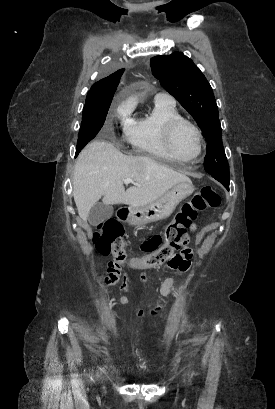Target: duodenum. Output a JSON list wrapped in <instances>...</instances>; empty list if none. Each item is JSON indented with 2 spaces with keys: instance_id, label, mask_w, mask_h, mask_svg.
Returning <instances> with one entry per match:
<instances>
[{
  "instance_id": "410a0bca",
  "label": "duodenum",
  "mask_w": 275,
  "mask_h": 409,
  "mask_svg": "<svg viewBox=\"0 0 275 409\" xmlns=\"http://www.w3.org/2000/svg\"><path fill=\"white\" fill-rule=\"evenodd\" d=\"M130 209L129 208H127V207H124V208H122L120 211H119V218H120V220H122V221H124V220H126L129 216H130Z\"/></svg>"
}]
</instances>
